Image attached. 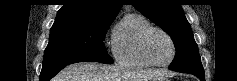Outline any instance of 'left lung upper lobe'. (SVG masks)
<instances>
[{
    "label": "left lung upper lobe",
    "instance_id": "obj_1",
    "mask_svg": "<svg viewBox=\"0 0 237 81\" xmlns=\"http://www.w3.org/2000/svg\"><path fill=\"white\" fill-rule=\"evenodd\" d=\"M132 3L172 38L177 53L170 70L204 74L198 47L181 5L175 0H132Z\"/></svg>",
    "mask_w": 237,
    "mask_h": 81
}]
</instances>
